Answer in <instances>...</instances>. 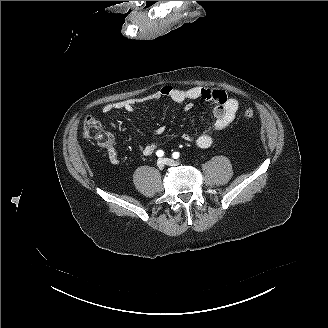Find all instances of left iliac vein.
Instances as JSON below:
<instances>
[{
  "instance_id": "obj_1",
  "label": "left iliac vein",
  "mask_w": 328,
  "mask_h": 328,
  "mask_svg": "<svg viewBox=\"0 0 328 328\" xmlns=\"http://www.w3.org/2000/svg\"><path fill=\"white\" fill-rule=\"evenodd\" d=\"M163 161L165 162V164H167L169 166H178L180 164L179 161L169 159V158H165V159H163Z\"/></svg>"
}]
</instances>
